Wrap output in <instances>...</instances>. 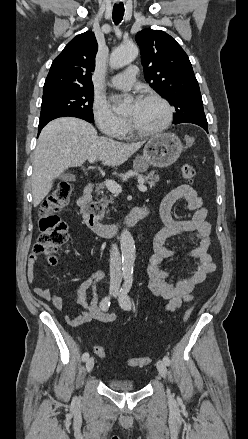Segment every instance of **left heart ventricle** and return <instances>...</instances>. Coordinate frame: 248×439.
<instances>
[{
	"label": "left heart ventricle",
	"mask_w": 248,
	"mask_h": 439,
	"mask_svg": "<svg viewBox=\"0 0 248 439\" xmlns=\"http://www.w3.org/2000/svg\"><path fill=\"white\" fill-rule=\"evenodd\" d=\"M127 116L141 129L151 130L164 123L166 110L156 100L142 99L138 104L129 106Z\"/></svg>",
	"instance_id": "b2bd125f"
}]
</instances>
